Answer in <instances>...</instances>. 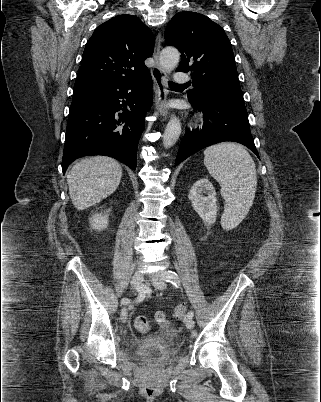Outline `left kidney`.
<instances>
[{
	"label": "left kidney",
	"mask_w": 321,
	"mask_h": 402,
	"mask_svg": "<svg viewBox=\"0 0 321 402\" xmlns=\"http://www.w3.org/2000/svg\"><path fill=\"white\" fill-rule=\"evenodd\" d=\"M204 194L207 196H204ZM188 198L192 203L193 209L206 224L212 225L216 222V192L208 179L201 178L196 181L189 191Z\"/></svg>",
	"instance_id": "obj_1"
}]
</instances>
